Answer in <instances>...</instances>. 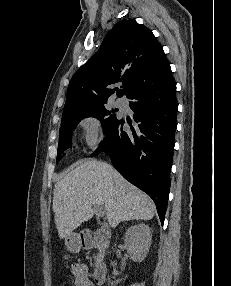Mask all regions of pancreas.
I'll return each instance as SVG.
<instances>
[{
	"instance_id": "cf45deb5",
	"label": "pancreas",
	"mask_w": 231,
	"mask_h": 286,
	"mask_svg": "<svg viewBox=\"0 0 231 286\" xmlns=\"http://www.w3.org/2000/svg\"><path fill=\"white\" fill-rule=\"evenodd\" d=\"M100 259V257H97V260H99ZM94 265H95V263H94Z\"/></svg>"
}]
</instances>
